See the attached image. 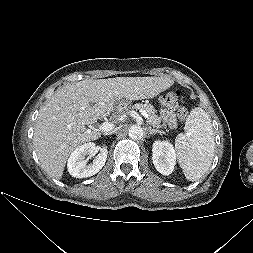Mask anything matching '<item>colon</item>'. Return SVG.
<instances>
[{
  "mask_svg": "<svg viewBox=\"0 0 253 253\" xmlns=\"http://www.w3.org/2000/svg\"><path fill=\"white\" fill-rule=\"evenodd\" d=\"M179 91H173L164 96V100L168 103H172L180 98ZM178 115L181 120H185L188 116V111L185 107H180L178 110Z\"/></svg>",
  "mask_w": 253,
  "mask_h": 253,
  "instance_id": "colon-1",
  "label": "colon"
}]
</instances>
